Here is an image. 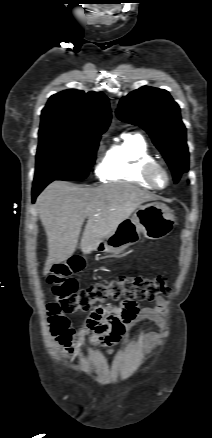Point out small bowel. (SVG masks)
<instances>
[{"label":"small bowel","mask_w":212,"mask_h":438,"mask_svg":"<svg viewBox=\"0 0 212 438\" xmlns=\"http://www.w3.org/2000/svg\"><path fill=\"white\" fill-rule=\"evenodd\" d=\"M156 304L154 308L140 310L135 301L124 300L118 306L97 307L82 325L78 336L71 329L54 336L58 345L70 354L77 350L78 343L88 335L92 336L94 344L105 347L106 352L112 354L114 346L123 341L128 329L138 321L148 319L164 327L162 312L166 307V300L158 297ZM151 339L154 341L156 337L151 336Z\"/></svg>","instance_id":"1"}]
</instances>
